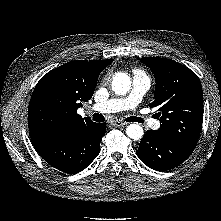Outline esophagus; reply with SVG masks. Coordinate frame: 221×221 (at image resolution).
Instances as JSON below:
<instances>
[{"instance_id":"34e87169","label":"esophagus","mask_w":221,"mask_h":221,"mask_svg":"<svg viewBox=\"0 0 221 221\" xmlns=\"http://www.w3.org/2000/svg\"><path fill=\"white\" fill-rule=\"evenodd\" d=\"M112 124H113L114 126H116V127H120V126H125V125H127L126 122L121 121V120H115V121L112 122Z\"/></svg>"}]
</instances>
